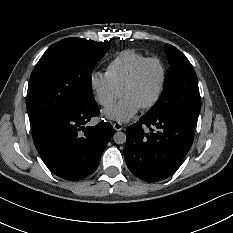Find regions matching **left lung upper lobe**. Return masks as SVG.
Instances as JSON below:
<instances>
[{
	"mask_svg": "<svg viewBox=\"0 0 233 233\" xmlns=\"http://www.w3.org/2000/svg\"><path fill=\"white\" fill-rule=\"evenodd\" d=\"M170 68L165 78L162 95L146 118L189 116L197 118L201 109L196 73L186 56L176 47L164 46Z\"/></svg>",
	"mask_w": 233,
	"mask_h": 233,
	"instance_id": "5c2ea615",
	"label": "left lung upper lobe"
}]
</instances>
